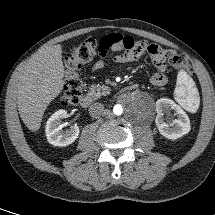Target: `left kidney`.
Here are the masks:
<instances>
[{
	"mask_svg": "<svg viewBox=\"0 0 215 215\" xmlns=\"http://www.w3.org/2000/svg\"><path fill=\"white\" fill-rule=\"evenodd\" d=\"M169 110L174 111L176 119H172ZM157 116L155 123L161 135L175 140L190 132V120L184 110L173 100L161 98L156 101ZM165 115V116H164Z\"/></svg>",
	"mask_w": 215,
	"mask_h": 215,
	"instance_id": "5707ae66",
	"label": "left kidney"
}]
</instances>
